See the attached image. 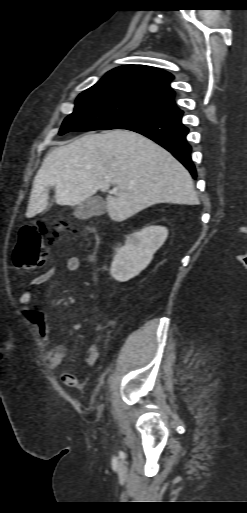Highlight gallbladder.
Returning <instances> with one entry per match:
<instances>
[{"label": "gallbladder", "instance_id": "bac80fb5", "mask_svg": "<svg viewBox=\"0 0 247 513\" xmlns=\"http://www.w3.org/2000/svg\"><path fill=\"white\" fill-rule=\"evenodd\" d=\"M106 212V204L101 197L93 196L87 198L74 210V216L80 220H87L93 216H101Z\"/></svg>", "mask_w": 247, "mask_h": 513}]
</instances>
